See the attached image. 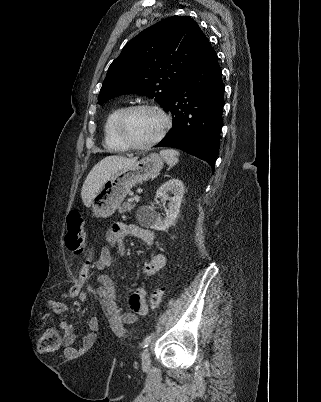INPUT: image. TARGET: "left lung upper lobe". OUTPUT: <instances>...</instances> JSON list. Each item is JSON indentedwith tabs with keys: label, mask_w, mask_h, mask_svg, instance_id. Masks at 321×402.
Wrapping results in <instances>:
<instances>
[{
	"label": "left lung upper lobe",
	"mask_w": 321,
	"mask_h": 402,
	"mask_svg": "<svg viewBox=\"0 0 321 402\" xmlns=\"http://www.w3.org/2000/svg\"><path fill=\"white\" fill-rule=\"evenodd\" d=\"M208 39L188 16H172L129 41L110 65L98 102L130 93L155 98L166 109L179 82L199 59Z\"/></svg>",
	"instance_id": "1"
}]
</instances>
